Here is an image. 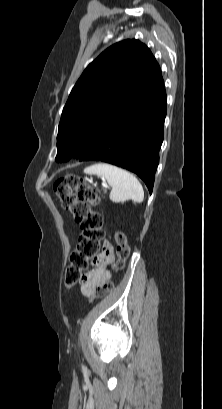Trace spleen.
I'll return each instance as SVG.
<instances>
[{"label": "spleen", "instance_id": "obj_1", "mask_svg": "<svg viewBox=\"0 0 222 409\" xmlns=\"http://www.w3.org/2000/svg\"><path fill=\"white\" fill-rule=\"evenodd\" d=\"M88 175H97L112 187L110 200L115 203L132 200L141 203L144 200L143 187L130 172L107 163L93 164L84 169Z\"/></svg>", "mask_w": 222, "mask_h": 409}]
</instances>
